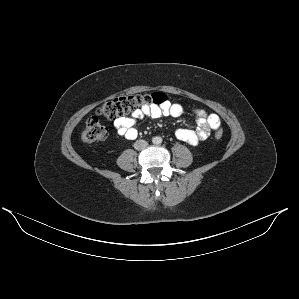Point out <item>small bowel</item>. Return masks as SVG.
Here are the masks:
<instances>
[{
	"label": "small bowel",
	"instance_id": "obj_1",
	"mask_svg": "<svg viewBox=\"0 0 299 299\" xmlns=\"http://www.w3.org/2000/svg\"><path fill=\"white\" fill-rule=\"evenodd\" d=\"M183 107L178 103L165 102L161 106H150L132 112L129 116H121L114 120L113 125L121 137L132 140L138 136L137 124L143 118H160L162 116L180 117ZM193 114L197 119L195 129L179 128L175 136L191 145L204 141L212 130L220 127L221 121L217 114L208 113L203 109H194Z\"/></svg>",
	"mask_w": 299,
	"mask_h": 299
}]
</instances>
